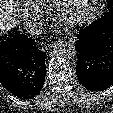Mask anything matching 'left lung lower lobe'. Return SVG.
Segmentation results:
<instances>
[{"label":"left lung lower lobe","mask_w":113,"mask_h":113,"mask_svg":"<svg viewBox=\"0 0 113 113\" xmlns=\"http://www.w3.org/2000/svg\"><path fill=\"white\" fill-rule=\"evenodd\" d=\"M76 75L90 91L113 85V18L96 20L78 34Z\"/></svg>","instance_id":"0a47b994"}]
</instances>
